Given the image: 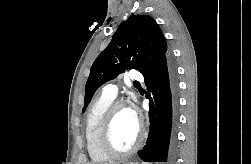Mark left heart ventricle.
Segmentation results:
<instances>
[{"instance_id":"left-heart-ventricle-1","label":"left heart ventricle","mask_w":251,"mask_h":164,"mask_svg":"<svg viewBox=\"0 0 251 164\" xmlns=\"http://www.w3.org/2000/svg\"><path fill=\"white\" fill-rule=\"evenodd\" d=\"M138 136V122L128 107L120 108L114 118L112 143L118 150H127L134 145Z\"/></svg>"}]
</instances>
